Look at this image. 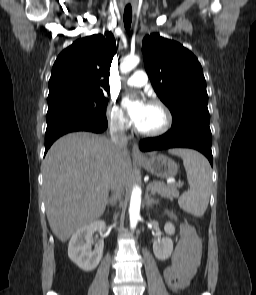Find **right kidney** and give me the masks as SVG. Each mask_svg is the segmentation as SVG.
Wrapping results in <instances>:
<instances>
[{
  "label": "right kidney",
  "instance_id": "obj_1",
  "mask_svg": "<svg viewBox=\"0 0 256 295\" xmlns=\"http://www.w3.org/2000/svg\"><path fill=\"white\" fill-rule=\"evenodd\" d=\"M105 229V222L96 220L79 228L71 237L68 257L83 271L90 272L98 266L103 254L104 241L100 239L92 250L91 237L95 230L102 234Z\"/></svg>",
  "mask_w": 256,
  "mask_h": 295
}]
</instances>
